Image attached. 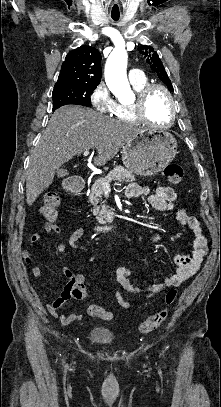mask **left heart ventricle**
<instances>
[{"instance_id": "obj_1", "label": "left heart ventricle", "mask_w": 221, "mask_h": 407, "mask_svg": "<svg viewBox=\"0 0 221 407\" xmlns=\"http://www.w3.org/2000/svg\"><path fill=\"white\" fill-rule=\"evenodd\" d=\"M146 113L155 123L167 124L171 115V106L166 95L159 90L154 91L147 102Z\"/></svg>"}]
</instances>
